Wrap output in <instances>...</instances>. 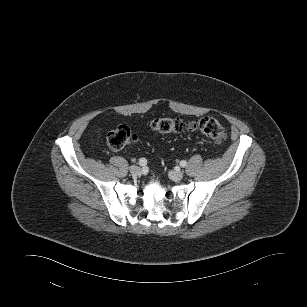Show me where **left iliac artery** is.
Here are the masks:
<instances>
[{"instance_id":"1","label":"left iliac artery","mask_w":307,"mask_h":307,"mask_svg":"<svg viewBox=\"0 0 307 307\" xmlns=\"http://www.w3.org/2000/svg\"><path fill=\"white\" fill-rule=\"evenodd\" d=\"M180 165H181L182 167H186V166H187V162L184 161V160H182V161L180 162Z\"/></svg>"}]
</instances>
